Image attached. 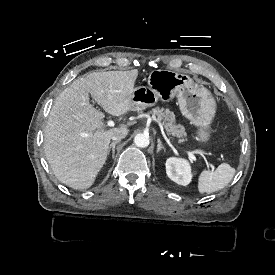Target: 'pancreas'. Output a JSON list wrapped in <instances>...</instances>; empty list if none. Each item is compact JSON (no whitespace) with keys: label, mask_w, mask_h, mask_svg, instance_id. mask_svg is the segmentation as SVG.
<instances>
[{"label":"pancreas","mask_w":275,"mask_h":275,"mask_svg":"<svg viewBox=\"0 0 275 275\" xmlns=\"http://www.w3.org/2000/svg\"><path fill=\"white\" fill-rule=\"evenodd\" d=\"M149 114L156 116L159 122L163 121L167 134L179 138V143H182L186 140L183 138L187 136L185 128L181 124H176L174 112L170 111L169 109L155 107L149 112Z\"/></svg>","instance_id":"pancreas-1"}]
</instances>
